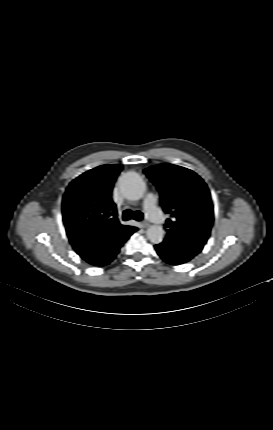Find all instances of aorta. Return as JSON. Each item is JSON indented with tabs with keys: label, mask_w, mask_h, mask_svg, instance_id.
I'll use <instances>...</instances> for the list:
<instances>
[{
	"label": "aorta",
	"mask_w": 273,
	"mask_h": 430,
	"mask_svg": "<svg viewBox=\"0 0 273 430\" xmlns=\"http://www.w3.org/2000/svg\"><path fill=\"white\" fill-rule=\"evenodd\" d=\"M119 187L122 194L129 200H139L145 193V182L136 172L124 173L119 179ZM147 237L153 244L163 241L165 232L162 226L151 225L147 229Z\"/></svg>",
	"instance_id": "obj_1"
}]
</instances>
